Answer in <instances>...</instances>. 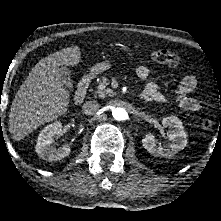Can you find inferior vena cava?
I'll return each instance as SVG.
<instances>
[{"label":"inferior vena cava","mask_w":221,"mask_h":221,"mask_svg":"<svg viewBox=\"0 0 221 221\" xmlns=\"http://www.w3.org/2000/svg\"><path fill=\"white\" fill-rule=\"evenodd\" d=\"M100 108V105L96 101H87L82 106L84 114L92 115L95 114Z\"/></svg>","instance_id":"1"}]
</instances>
